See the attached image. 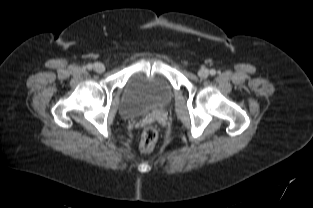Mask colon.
Segmentation results:
<instances>
[{
  "label": "colon",
  "mask_w": 313,
  "mask_h": 208,
  "mask_svg": "<svg viewBox=\"0 0 313 208\" xmlns=\"http://www.w3.org/2000/svg\"><path fill=\"white\" fill-rule=\"evenodd\" d=\"M159 132L156 127L148 126L146 127L141 134L140 139V149L144 153L151 152L158 140Z\"/></svg>",
  "instance_id": "1"
}]
</instances>
